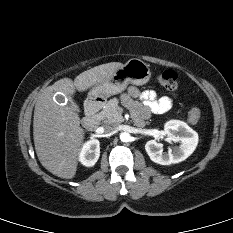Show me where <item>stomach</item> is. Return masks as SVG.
I'll return each mask as SVG.
<instances>
[{
  "mask_svg": "<svg viewBox=\"0 0 233 233\" xmlns=\"http://www.w3.org/2000/svg\"><path fill=\"white\" fill-rule=\"evenodd\" d=\"M151 78L149 66L140 59L132 58L118 68L107 80L95 85L89 92V99H105L124 91L128 84L144 85Z\"/></svg>",
  "mask_w": 233,
  "mask_h": 233,
  "instance_id": "stomach-1",
  "label": "stomach"
}]
</instances>
